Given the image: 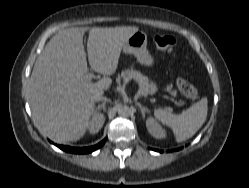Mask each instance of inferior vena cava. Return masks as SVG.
<instances>
[{
  "label": "inferior vena cava",
  "mask_w": 249,
  "mask_h": 188,
  "mask_svg": "<svg viewBox=\"0 0 249 188\" xmlns=\"http://www.w3.org/2000/svg\"><path fill=\"white\" fill-rule=\"evenodd\" d=\"M107 98L106 97H103V96H100V97H98V101H104V100H106Z\"/></svg>",
  "instance_id": "obj_1"
}]
</instances>
